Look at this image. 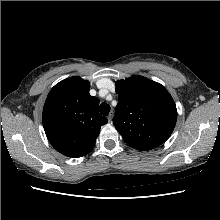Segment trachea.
Listing matches in <instances>:
<instances>
[{"mask_svg":"<svg viewBox=\"0 0 220 220\" xmlns=\"http://www.w3.org/2000/svg\"><path fill=\"white\" fill-rule=\"evenodd\" d=\"M110 112V106L106 103H102L100 105V113L103 115V116H107Z\"/></svg>","mask_w":220,"mask_h":220,"instance_id":"1","label":"trachea"}]
</instances>
